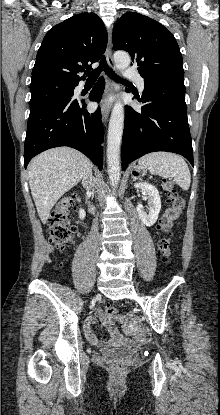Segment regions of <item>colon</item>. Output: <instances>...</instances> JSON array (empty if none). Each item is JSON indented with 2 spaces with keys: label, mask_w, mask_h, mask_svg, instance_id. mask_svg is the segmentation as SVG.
I'll return each instance as SVG.
<instances>
[{
  "label": "colon",
  "mask_w": 220,
  "mask_h": 415,
  "mask_svg": "<svg viewBox=\"0 0 220 415\" xmlns=\"http://www.w3.org/2000/svg\"><path fill=\"white\" fill-rule=\"evenodd\" d=\"M162 188L167 193L170 206L163 213L159 221V229L166 234L158 242V250L165 261H168L172 253L171 231L175 221L181 215L184 208V199L177 192L174 183L171 180L164 179ZM77 199L74 194L62 198L49 216V233L52 243L59 249L65 250L73 241L75 227L69 223L71 212L76 210ZM105 315L109 319H113L117 315L116 307L112 305L106 306ZM114 369L121 370L122 365L115 363Z\"/></svg>",
  "instance_id": "1"
}]
</instances>
